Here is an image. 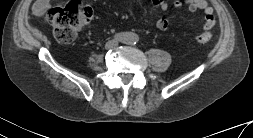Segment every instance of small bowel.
<instances>
[{
    "label": "small bowel",
    "instance_id": "1",
    "mask_svg": "<svg viewBox=\"0 0 253 138\" xmlns=\"http://www.w3.org/2000/svg\"><path fill=\"white\" fill-rule=\"evenodd\" d=\"M155 8L160 11H166L168 9V3L166 0H150ZM51 0H36L33 6V11L36 15L45 14L50 8ZM184 4L188 7V10L195 12L202 10L205 14L203 28L210 30L215 24V16L212 7L206 0H184ZM183 3L179 0L173 2V8L179 10L182 8ZM157 28L165 32L169 28V22L167 19L161 18L157 21Z\"/></svg>",
    "mask_w": 253,
    "mask_h": 138
}]
</instances>
